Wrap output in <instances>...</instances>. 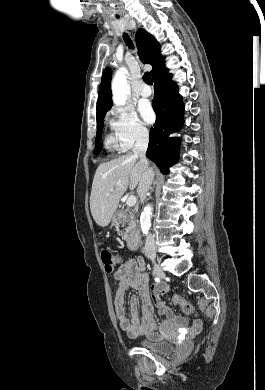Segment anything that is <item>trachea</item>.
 I'll return each instance as SVG.
<instances>
[{"mask_svg": "<svg viewBox=\"0 0 265 390\" xmlns=\"http://www.w3.org/2000/svg\"><path fill=\"white\" fill-rule=\"evenodd\" d=\"M123 38L125 40V43L129 46V48H134V45L131 41V39L129 38L128 34H124L123 35ZM143 79L144 81L149 84V85H152L153 84V81H152V78H151V74L150 73H145L143 75Z\"/></svg>", "mask_w": 265, "mask_h": 390, "instance_id": "3493384b", "label": "trachea"}]
</instances>
